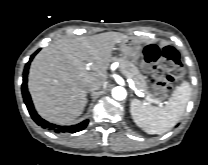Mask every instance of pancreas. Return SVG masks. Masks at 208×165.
Masks as SVG:
<instances>
[{"label":"pancreas","instance_id":"obj_1","mask_svg":"<svg viewBox=\"0 0 208 165\" xmlns=\"http://www.w3.org/2000/svg\"><path fill=\"white\" fill-rule=\"evenodd\" d=\"M117 60L120 62V70L122 74H124L128 78H131L134 81L135 86L139 91L144 92L146 96L155 99L154 95H152L148 91V87L146 84V77L139 72L138 68L125 59H117Z\"/></svg>","mask_w":208,"mask_h":165}]
</instances>
